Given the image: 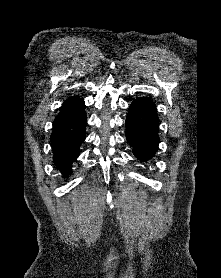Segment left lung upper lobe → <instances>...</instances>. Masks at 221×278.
I'll use <instances>...</instances> for the list:
<instances>
[{
	"label": "left lung upper lobe",
	"mask_w": 221,
	"mask_h": 278,
	"mask_svg": "<svg viewBox=\"0 0 221 278\" xmlns=\"http://www.w3.org/2000/svg\"><path fill=\"white\" fill-rule=\"evenodd\" d=\"M140 100H148V99H146V98H139Z\"/></svg>",
	"instance_id": "5c2ea615"
}]
</instances>
